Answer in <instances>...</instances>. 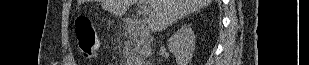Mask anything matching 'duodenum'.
I'll return each instance as SVG.
<instances>
[{"instance_id":"1","label":"duodenum","mask_w":309,"mask_h":65,"mask_svg":"<svg viewBox=\"0 0 309 65\" xmlns=\"http://www.w3.org/2000/svg\"><path fill=\"white\" fill-rule=\"evenodd\" d=\"M125 29L126 32L132 37L142 38L146 35L144 26L138 20L127 19Z\"/></svg>"}]
</instances>
